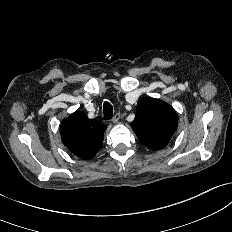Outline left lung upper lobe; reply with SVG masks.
<instances>
[{"instance_id": "1", "label": "left lung upper lobe", "mask_w": 232, "mask_h": 232, "mask_svg": "<svg viewBox=\"0 0 232 232\" xmlns=\"http://www.w3.org/2000/svg\"><path fill=\"white\" fill-rule=\"evenodd\" d=\"M177 114L168 103L155 98H142L131 123L139 141L152 150L167 146L177 129Z\"/></svg>"}]
</instances>
